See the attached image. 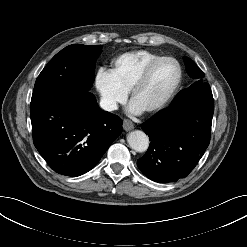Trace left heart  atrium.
<instances>
[{
    "label": "left heart atrium",
    "instance_id": "39dd6f15",
    "mask_svg": "<svg viewBox=\"0 0 247 247\" xmlns=\"http://www.w3.org/2000/svg\"><path fill=\"white\" fill-rule=\"evenodd\" d=\"M128 109L130 113L135 115L141 114L144 111V109L140 107L134 100L131 101Z\"/></svg>",
    "mask_w": 247,
    "mask_h": 247
}]
</instances>
